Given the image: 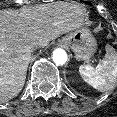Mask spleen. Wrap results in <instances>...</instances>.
Returning <instances> with one entry per match:
<instances>
[{
	"mask_svg": "<svg viewBox=\"0 0 117 117\" xmlns=\"http://www.w3.org/2000/svg\"><path fill=\"white\" fill-rule=\"evenodd\" d=\"M79 73L83 80L100 92L111 89L117 82V52L106 47L103 60L96 66L81 65Z\"/></svg>",
	"mask_w": 117,
	"mask_h": 117,
	"instance_id": "3e777b00",
	"label": "spleen"
}]
</instances>
